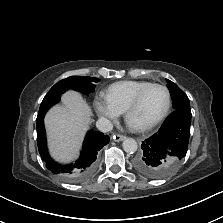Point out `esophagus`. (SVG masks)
Returning <instances> with one entry per match:
<instances>
[{"label":"esophagus","mask_w":223,"mask_h":223,"mask_svg":"<svg viewBox=\"0 0 223 223\" xmlns=\"http://www.w3.org/2000/svg\"><path fill=\"white\" fill-rule=\"evenodd\" d=\"M125 138L126 137L124 135H119V134L113 135V140L116 142L123 141Z\"/></svg>","instance_id":"1"}]
</instances>
